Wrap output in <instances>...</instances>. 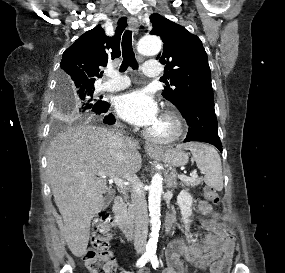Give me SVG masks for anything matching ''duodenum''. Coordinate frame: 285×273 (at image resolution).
I'll use <instances>...</instances> for the list:
<instances>
[{
  "label": "duodenum",
  "mask_w": 285,
  "mask_h": 273,
  "mask_svg": "<svg viewBox=\"0 0 285 273\" xmlns=\"http://www.w3.org/2000/svg\"><path fill=\"white\" fill-rule=\"evenodd\" d=\"M113 213L115 215V224L122 231V233L129 239L132 238L134 226L130 218L126 214L125 204L121 197L115 199L113 203ZM174 224V214L168 213L166 217V233H169Z\"/></svg>",
  "instance_id": "410a0bca"
}]
</instances>
